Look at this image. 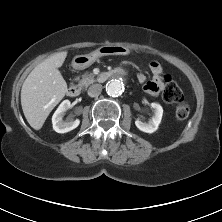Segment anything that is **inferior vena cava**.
<instances>
[{
	"label": "inferior vena cava",
	"instance_id": "1",
	"mask_svg": "<svg viewBox=\"0 0 222 222\" xmlns=\"http://www.w3.org/2000/svg\"><path fill=\"white\" fill-rule=\"evenodd\" d=\"M102 91V85L101 84H93L88 89V95L90 97H96L101 94Z\"/></svg>",
	"mask_w": 222,
	"mask_h": 222
}]
</instances>
